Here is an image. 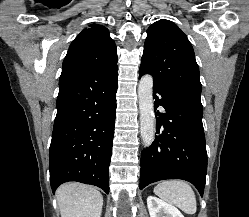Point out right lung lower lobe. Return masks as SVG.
Returning a JSON list of instances; mask_svg holds the SVG:
<instances>
[{
  "mask_svg": "<svg viewBox=\"0 0 249 217\" xmlns=\"http://www.w3.org/2000/svg\"><path fill=\"white\" fill-rule=\"evenodd\" d=\"M117 70L116 61L98 71L61 74L49 151L53 193L67 181L109 193Z\"/></svg>",
  "mask_w": 249,
  "mask_h": 217,
  "instance_id": "right-lung-lower-lobe-1",
  "label": "right lung lower lobe"
}]
</instances>
